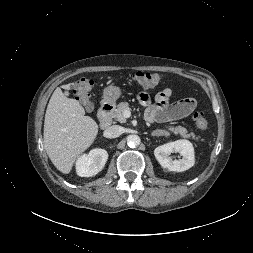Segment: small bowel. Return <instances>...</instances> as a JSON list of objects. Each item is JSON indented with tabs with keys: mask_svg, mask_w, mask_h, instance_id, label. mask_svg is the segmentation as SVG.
I'll return each instance as SVG.
<instances>
[{
	"mask_svg": "<svg viewBox=\"0 0 253 253\" xmlns=\"http://www.w3.org/2000/svg\"><path fill=\"white\" fill-rule=\"evenodd\" d=\"M172 91L165 88L156 94L154 99L140 92L138 101L146 107V119L149 122H169L184 118L191 114L196 108L197 102L194 98H186L176 103H170Z\"/></svg>",
	"mask_w": 253,
	"mask_h": 253,
	"instance_id": "c3829d8e",
	"label": "small bowel"
}]
</instances>
